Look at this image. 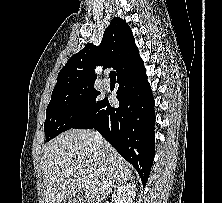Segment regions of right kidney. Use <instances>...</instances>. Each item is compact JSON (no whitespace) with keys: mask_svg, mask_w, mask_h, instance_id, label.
Wrapping results in <instances>:
<instances>
[{"mask_svg":"<svg viewBox=\"0 0 222 203\" xmlns=\"http://www.w3.org/2000/svg\"><path fill=\"white\" fill-rule=\"evenodd\" d=\"M136 190V185L134 183L124 184L118 187L112 195L113 203H133Z\"/></svg>","mask_w":222,"mask_h":203,"instance_id":"ca27d5eb","label":"right kidney"}]
</instances>
